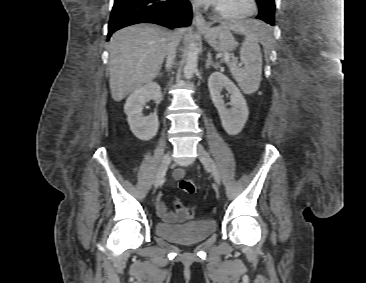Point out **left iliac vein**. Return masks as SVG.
Masks as SVG:
<instances>
[{
  "instance_id": "obj_1",
  "label": "left iliac vein",
  "mask_w": 366,
  "mask_h": 283,
  "mask_svg": "<svg viewBox=\"0 0 366 283\" xmlns=\"http://www.w3.org/2000/svg\"><path fill=\"white\" fill-rule=\"evenodd\" d=\"M197 152L200 161L209 169L215 182L220 184V174L214 160L211 158L209 153L205 150L202 145H198Z\"/></svg>"
}]
</instances>
